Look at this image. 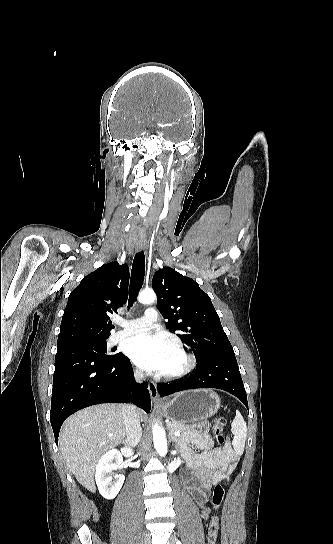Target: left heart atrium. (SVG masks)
Wrapping results in <instances>:
<instances>
[{
	"label": "left heart atrium",
	"mask_w": 333,
	"mask_h": 544,
	"mask_svg": "<svg viewBox=\"0 0 333 544\" xmlns=\"http://www.w3.org/2000/svg\"><path fill=\"white\" fill-rule=\"evenodd\" d=\"M171 344L161 335L140 332L124 343V352L140 368L161 373L165 368Z\"/></svg>",
	"instance_id": "left-heart-atrium-1"
}]
</instances>
